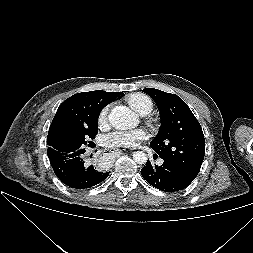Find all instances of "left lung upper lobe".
<instances>
[{
    "mask_svg": "<svg viewBox=\"0 0 253 253\" xmlns=\"http://www.w3.org/2000/svg\"><path fill=\"white\" fill-rule=\"evenodd\" d=\"M157 104L161 126L150 146L159 157L176 163L192 176L200 171L205 139L202 128L187 104L177 95L145 88Z\"/></svg>",
    "mask_w": 253,
    "mask_h": 253,
    "instance_id": "left-lung-upper-lobe-1",
    "label": "left lung upper lobe"
}]
</instances>
